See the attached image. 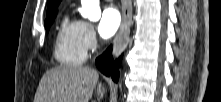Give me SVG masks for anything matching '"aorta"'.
<instances>
[{"mask_svg":"<svg viewBox=\"0 0 221 102\" xmlns=\"http://www.w3.org/2000/svg\"><path fill=\"white\" fill-rule=\"evenodd\" d=\"M81 16L90 21H98L101 17L99 0H81Z\"/></svg>","mask_w":221,"mask_h":102,"instance_id":"1","label":"aorta"}]
</instances>
